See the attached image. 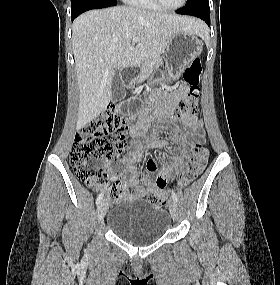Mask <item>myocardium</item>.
<instances>
[{"label":"myocardium","mask_w":280,"mask_h":285,"mask_svg":"<svg viewBox=\"0 0 280 285\" xmlns=\"http://www.w3.org/2000/svg\"><path fill=\"white\" fill-rule=\"evenodd\" d=\"M160 9L165 10V11H177L179 9H181L187 2V0H181V2L174 7H168L166 5H164V3L161 0H153Z\"/></svg>","instance_id":"1"}]
</instances>
